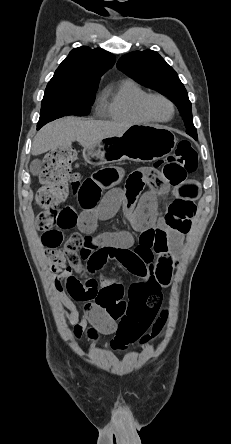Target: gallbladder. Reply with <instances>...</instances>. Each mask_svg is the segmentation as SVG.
<instances>
[{
    "instance_id": "bac80fb5",
    "label": "gallbladder",
    "mask_w": 231,
    "mask_h": 444,
    "mask_svg": "<svg viewBox=\"0 0 231 444\" xmlns=\"http://www.w3.org/2000/svg\"><path fill=\"white\" fill-rule=\"evenodd\" d=\"M41 171V162L40 160H33L30 165V172L33 175H37Z\"/></svg>"
}]
</instances>
